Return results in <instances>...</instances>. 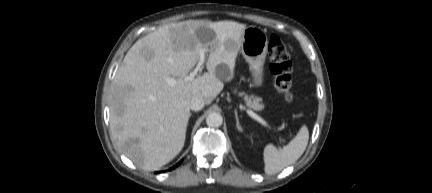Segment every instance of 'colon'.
Segmentation results:
<instances>
[{
    "label": "colon",
    "mask_w": 432,
    "mask_h": 193,
    "mask_svg": "<svg viewBox=\"0 0 432 193\" xmlns=\"http://www.w3.org/2000/svg\"><path fill=\"white\" fill-rule=\"evenodd\" d=\"M268 56L270 59L269 70L274 76L277 91L286 102H292V63L287 47L276 35H273L269 40Z\"/></svg>",
    "instance_id": "1"
}]
</instances>
